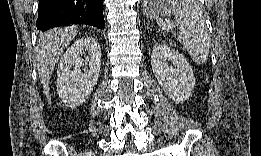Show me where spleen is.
I'll list each match as a JSON object with an SVG mask.
<instances>
[{
    "instance_id": "obj_1",
    "label": "spleen",
    "mask_w": 261,
    "mask_h": 156,
    "mask_svg": "<svg viewBox=\"0 0 261 156\" xmlns=\"http://www.w3.org/2000/svg\"><path fill=\"white\" fill-rule=\"evenodd\" d=\"M164 10L173 13L179 29V33H174V36L192 60L198 64L204 63L209 54V35L199 5L195 1H180L173 9L167 5ZM156 21L162 30L172 31L173 25L166 23L162 17L157 16Z\"/></svg>"
}]
</instances>
